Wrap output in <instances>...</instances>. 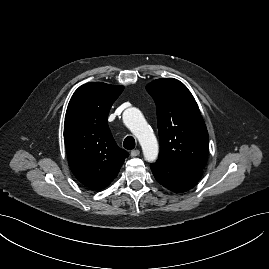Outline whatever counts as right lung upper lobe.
Masks as SVG:
<instances>
[{"mask_svg": "<svg viewBox=\"0 0 269 269\" xmlns=\"http://www.w3.org/2000/svg\"><path fill=\"white\" fill-rule=\"evenodd\" d=\"M123 86L91 82L80 86L68 104L64 140L75 177L86 187L100 190L117 176L128 152L118 147L107 117Z\"/></svg>", "mask_w": 269, "mask_h": 269, "instance_id": "1", "label": "right lung upper lobe"}]
</instances>
